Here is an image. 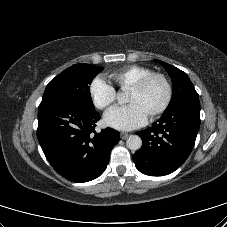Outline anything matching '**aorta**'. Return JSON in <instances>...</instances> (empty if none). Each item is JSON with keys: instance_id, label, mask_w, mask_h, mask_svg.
I'll return each instance as SVG.
<instances>
[{"instance_id": "obj_1", "label": "aorta", "mask_w": 227, "mask_h": 227, "mask_svg": "<svg viewBox=\"0 0 227 227\" xmlns=\"http://www.w3.org/2000/svg\"><path fill=\"white\" fill-rule=\"evenodd\" d=\"M124 98V95L122 93H120L118 95V100L122 101ZM127 147L130 150H139L142 146V140L138 135H130L126 141Z\"/></svg>"}]
</instances>
